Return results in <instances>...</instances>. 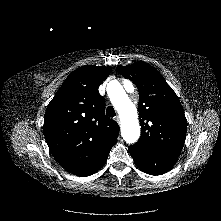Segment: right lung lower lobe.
<instances>
[{
	"label": "right lung lower lobe",
	"instance_id": "obj_1",
	"mask_svg": "<svg viewBox=\"0 0 221 221\" xmlns=\"http://www.w3.org/2000/svg\"><path fill=\"white\" fill-rule=\"evenodd\" d=\"M110 151V150H109ZM108 152H106L105 154H103L95 163H93L92 165L86 167V168H83V169H80V170H77V171H74L72 172L74 175H77V176H89L91 174H94L95 172H97L106 162L107 160V157H108Z\"/></svg>",
	"mask_w": 221,
	"mask_h": 221
}]
</instances>
